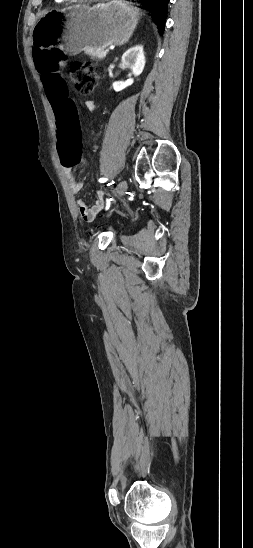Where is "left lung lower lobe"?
<instances>
[{
	"mask_svg": "<svg viewBox=\"0 0 253 548\" xmlns=\"http://www.w3.org/2000/svg\"><path fill=\"white\" fill-rule=\"evenodd\" d=\"M139 1L140 3L144 4L147 8H149L153 12L155 16V22L160 30V33L162 34L165 27V20L167 17L169 0H139Z\"/></svg>",
	"mask_w": 253,
	"mask_h": 548,
	"instance_id": "1",
	"label": "left lung lower lobe"
}]
</instances>
